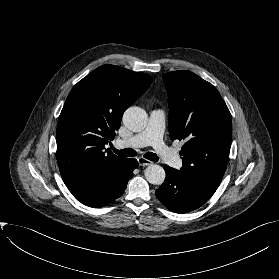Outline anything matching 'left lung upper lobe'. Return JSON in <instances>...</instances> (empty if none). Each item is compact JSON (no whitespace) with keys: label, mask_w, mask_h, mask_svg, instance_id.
Wrapping results in <instances>:
<instances>
[{"label":"left lung upper lobe","mask_w":279,"mask_h":279,"mask_svg":"<svg viewBox=\"0 0 279 279\" xmlns=\"http://www.w3.org/2000/svg\"><path fill=\"white\" fill-rule=\"evenodd\" d=\"M169 98L171 140H186L180 172L217 189L227 166L232 139L231 114L217 89L196 74L163 75Z\"/></svg>","instance_id":"left-lung-upper-lobe-1"}]
</instances>
